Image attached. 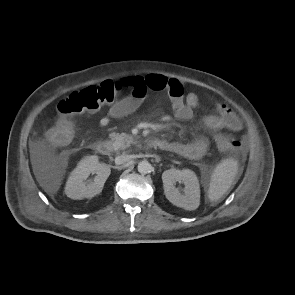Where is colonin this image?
Segmentation results:
<instances>
[{"label":"colon","mask_w":295,"mask_h":295,"mask_svg":"<svg viewBox=\"0 0 295 295\" xmlns=\"http://www.w3.org/2000/svg\"><path fill=\"white\" fill-rule=\"evenodd\" d=\"M125 92H132V86L125 81H106L98 86H89L69 95L58 105L61 119L48 131V140L57 146L67 145L72 138V126L68 118L83 112H93L102 106L119 101ZM217 147L224 152L235 153L242 150V143L225 134L215 135Z\"/></svg>","instance_id":"colon-1"}]
</instances>
